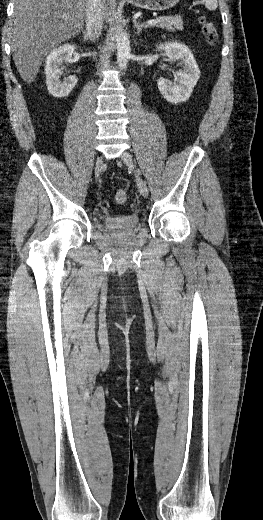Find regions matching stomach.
I'll return each mask as SVG.
<instances>
[{"label": "stomach", "instance_id": "0dacf381", "mask_svg": "<svg viewBox=\"0 0 263 520\" xmlns=\"http://www.w3.org/2000/svg\"><path fill=\"white\" fill-rule=\"evenodd\" d=\"M129 4L143 9L163 11L175 6L179 0H126Z\"/></svg>", "mask_w": 263, "mask_h": 520}]
</instances>
